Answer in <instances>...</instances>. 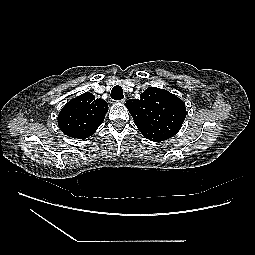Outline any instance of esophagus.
<instances>
[{"label":"esophagus","mask_w":255,"mask_h":255,"mask_svg":"<svg viewBox=\"0 0 255 255\" xmlns=\"http://www.w3.org/2000/svg\"><path fill=\"white\" fill-rule=\"evenodd\" d=\"M116 102L124 104L125 103V99L117 100Z\"/></svg>","instance_id":"34e87169"}]
</instances>
